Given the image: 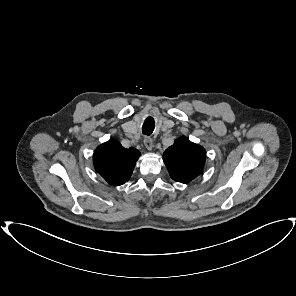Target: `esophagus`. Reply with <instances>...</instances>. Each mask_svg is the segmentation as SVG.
Instances as JSON below:
<instances>
[{
	"instance_id": "34e87169",
	"label": "esophagus",
	"mask_w": 296,
	"mask_h": 296,
	"mask_svg": "<svg viewBox=\"0 0 296 296\" xmlns=\"http://www.w3.org/2000/svg\"><path fill=\"white\" fill-rule=\"evenodd\" d=\"M143 142L148 150H151L153 148V140L150 137H145Z\"/></svg>"
}]
</instances>
